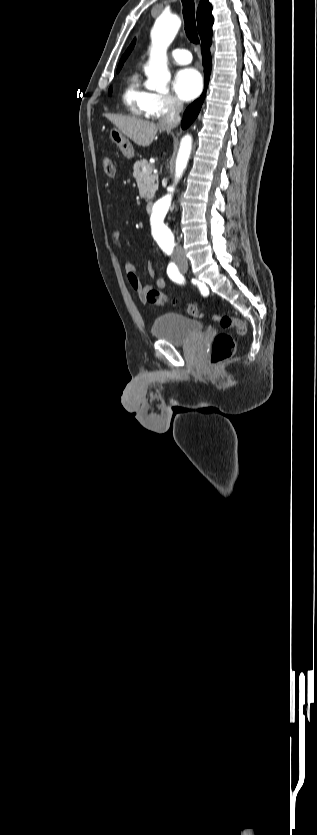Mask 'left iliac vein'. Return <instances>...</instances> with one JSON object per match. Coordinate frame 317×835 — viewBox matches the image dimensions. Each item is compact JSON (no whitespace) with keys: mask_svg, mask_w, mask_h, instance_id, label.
<instances>
[{"mask_svg":"<svg viewBox=\"0 0 317 835\" xmlns=\"http://www.w3.org/2000/svg\"><path fill=\"white\" fill-rule=\"evenodd\" d=\"M179 267L182 273H186L188 270V265L186 262L184 264H181Z\"/></svg>","mask_w":317,"mask_h":835,"instance_id":"4c4485c4","label":"left iliac vein"}]
</instances>
